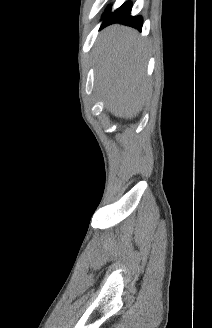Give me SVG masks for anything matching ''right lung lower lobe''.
I'll list each match as a JSON object with an SVG mask.
<instances>
[{
    "label": "right lung lower lobe",
    "mask_w": 212,
    "mask_h": 328,
    "mask_svg": "<svg viewBox=\"0 0 212 328\" xmlns=\"http://www.w3.org/2000/svg\"><path fill=\"white\" fill-rule=\"evenodd\" d=\"M131 8L132 5L130 2L124 3L114 12H111V6H109L105 14L103 16V23L101 28L114 24L119 23L123 25H127L133 27L139 31L142 30L143 20L141 16H131Z\"/></svg>",
    "instance_id": "obj_1"
}]
</instances>
